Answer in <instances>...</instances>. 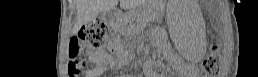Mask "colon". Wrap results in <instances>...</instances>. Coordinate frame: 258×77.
<instances>
[{
    "label": "colon",
    "instance_id": "obj_1",
    "mask_svg": "<svg viewBox=\"0 0 258 77\" xmlns=\"http://www.w3.org/2000/svg\"><path fill=\"white\" fill-rule=\"evenodd\" d=\"M109 29L101 20H94L89 25L83 27L78 36L70 44V64L68 71L71 76L77 75L81 69L87 66L83 55L84 49L100 48L105 46ZM203 69L209 74H217L220 68L219 57L216 46L203 60Z\"/></svg>",
    "mask_w": 258,
    "mask_h": 77
}]
</instances>
